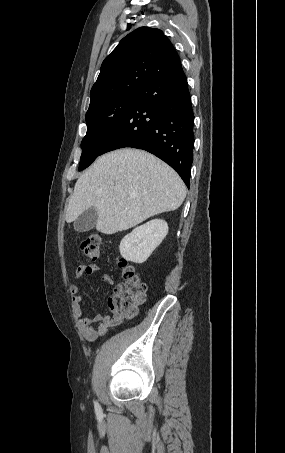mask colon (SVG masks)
<instances>
[{
	"mask_svg": "<svg viewBox=\"0 0 285 453\" xmlns=\"http://www.w3.org/2000/svg\"><path fill=\"white\" fill-rule=\"evenodd\" d=\"M101 235H88L81 243L82 254L96 260L101 255ZM123 282L115 289V300L119 302L120 312L127 317L137 314L139 307L145 302L148 286L125 260L119 261Z\"/></svg>",
	"mask_w": 285,
	"mask_h": 453,
	"instance_id": "colon-1",
	"label": "colon"
}]
</instances>
